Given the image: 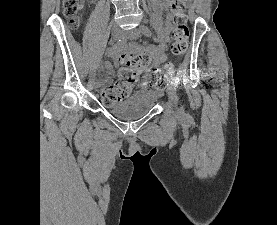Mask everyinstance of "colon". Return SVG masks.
Returning <instances> with one entry per match:
<instances>
[{
	"mask_svg": "<svg viewBox=\"0 0 277 225\" xmlns=\"http://www.w3.org/2000/svg\"><path fill=\"white\" fill-rule=\"evenodd\" d=\"M84 0H62L63 13L72 27L80 23V11ZM188 0H173L172 3V32L173 42L171 53L175 57H182L188 48L189 29L185 5ZM122 67L119 79L101 90V97L105 104H113L130 96L133 88L139 82L141 74L151 65V57L146 53L129 52L122 55ZM174 73L170 64L165 65L163 71L154 70L150 76V84L157 88L165 85L167 78Z\"/></svg>",
	"mask_w": 277,
	"mask_h": 225,
	"instance_id": "5ec220e1",
	"label": "colon"
}]
</instances>
